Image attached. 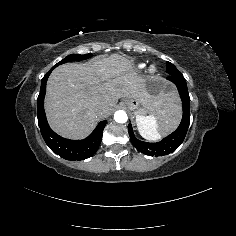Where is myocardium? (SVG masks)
<instances>
[{"instance_id": "myocardium-1", "label": "myocardium", "mask_w": 236, "mask_h": 236, "mask_svg": "<svg viewBox=\"0 0 236 236\" xmlns=\"http://www.w3.org/2000/svg\"><path fill=\"white\" fill-rule=\"evenodd\" d=\"M149 72L152 73V74L156 72V68H155V65H154V64H152V65L149 67Z\"/></svg>"}]
</instances>
